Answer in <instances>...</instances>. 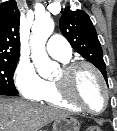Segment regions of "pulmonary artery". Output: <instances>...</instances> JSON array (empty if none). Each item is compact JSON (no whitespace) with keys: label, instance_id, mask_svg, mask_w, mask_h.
<instances>
[{"label":"pulmonary artery","instance_id":"e3ab8cb5","mask_svg":"<svg viewBox=\"0 0 117 131\" xmlns=\"http://www.w3.org/2000/svg\"><path fill=\"white\" fill-rule=\"evenodd\" d=\"M48 54L58 60H68L71 58V47L67 40L61 35H53L46 45Z\"/></svg>","mask_w":117,"mask_h":131}]
</instances>
